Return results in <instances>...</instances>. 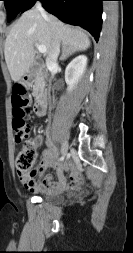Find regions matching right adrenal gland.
I'll list each match as a JSON object with an SVG mask.
<instances>
[{"label": "right adrenal gland", "instance_id": "obj_1", "mask_svg": "<svg viewBox=\"0 0 133 253\" xmlns=\"http://www.w3.org/2000/svg\"><path fill=\"white\" fill-rule=\"evenodd\" d=\"M71 55V53L66 52L65 50H63L62 56L60 57V60H65L67 59L69 56Z\"/></svg>", "mask_w": 133, "mask_h": 253}]
</instances>
